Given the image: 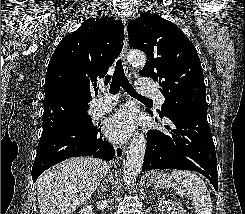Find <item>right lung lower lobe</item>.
Segmentation results:
<instances>
[{
	"mask_svg": "<svg viewBox=\"0 0 245 214\" xmlns=\"http://www.w3.org/2000/svg\"><path fill=\"white\" fill-rule=\"evenodd\" d=\"M69 122L43 129L32 167L34 182L46 169L70 157L114 158L113 146L103 139L92 121L80 127H69Z\"/></svg>",
	"mask_w": 245,
	"mask_h": 214,
	"instance_id": "obj_1",
	"label": "right lung lower lobe"
}]
</instances>
